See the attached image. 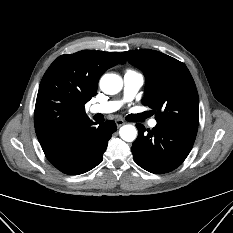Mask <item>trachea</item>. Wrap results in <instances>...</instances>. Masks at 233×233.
<instances>
[{
	"label": "trachea",
	"instance_id": "1",
	"mask_svg": "<svg viewBox=\"0 0 233 233\" xmlns=\"http://www.w3.org/2000/svg\"><path fill=\"white\" fill-rule=\"evenodd\" d=\"M148 117H150V113L144 112L141 114L130 115V116H128V120L131 122H142V121H144V119H146Z\"/></svg>",
	"mask_w": 233,
	"mask_h": 233
}]
</instances>
